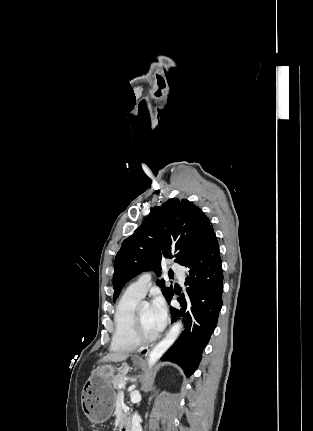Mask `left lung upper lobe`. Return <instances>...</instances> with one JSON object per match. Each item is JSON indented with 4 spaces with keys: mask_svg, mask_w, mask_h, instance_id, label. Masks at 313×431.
<instances>
[{
    "mask_svg": "<svg viewBox=\"0 0 313 431\" xmlns=\"http://www.w3.org/2000/svg\"><path fill=\"white\" fill-rule=\"evenodd\" d=\"M203 211L186 199H170L156 207L141 227L126 238L115 257L113 288L115 301L124 284L142 271L161 268L163 258H175L185 265L197 252L210 227ZM168 301L173 287L166 288L159 280Z\"/></svg>",
    "mask_w": 313,
    "mask_h": 431,
    "instance_id": "5c2ea615",
    "label": "left lung upper lobe"
}]
</instances>
